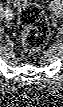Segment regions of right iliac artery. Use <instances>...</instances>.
<instances>
[{
  "mask_svg": "<svg viewBox=\"0 0 63 107\" xmlns=\"http://www.w3.org/2000/svg\"><path fill=\"white\" fill-rule=\"evenodd\" d=\"M6 12H11V11H10V9L7 8V9H6Z\"/></svg>",
  "mask_w": 63,
  "mask_h": 107,
  "instance_id": "right-iliac-artery-1",
  "label": "right iliac artery"
}]
</instances>
